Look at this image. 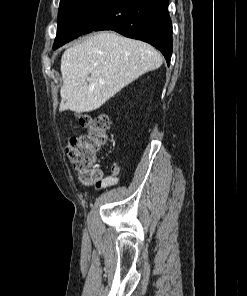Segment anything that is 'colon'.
<instances>
[{"label":"colon","mask_w":247,"mask_h":296,"mask_svg":"<svg viewBox=\"0 0 247 296\" xmlns=\"http://www.w3.org/2000/svg\"><path fill=\"white\" fill-rule=\"evenodd\" d=\"M79 122L86 133L70 140L67 155L82 184H98L102 181V171L97 161L108 141L109 121L104 115L83 114Z\"/></svg>","instance_id":"1"}]
</instances>
